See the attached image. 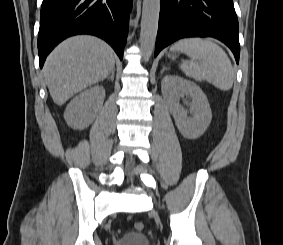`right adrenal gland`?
I'll list each match as a JSON object with an SVG mask.
<instances>
[{"label": "right adrenal gland", "instance_id": "2a0ac1e0", "mask_svg": "<svg viewBox=\"0 0 283 245\" xmlns=\"http://www.w3.org/2000/svg\"><path fill=\"white\" fill-rule=\"evenodd\" d=\"M114 75H115V69L111 72V75L108 77V79H111V81H114Z\"/></svg>", "mask_w": 283, "mask_h": 245}]
</instances>
